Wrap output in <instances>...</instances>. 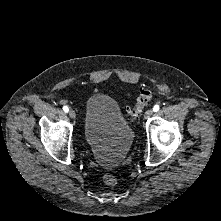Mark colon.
Returning a JSON list of instances; mask_svg holds the SVG:
<instances>
[{"mask_svg":"<svg viewBox=\"0 0 221 221\" xmlns=\"http://www.w3.org/2000/svg\"><path fill=\"white\" fill-rule=\"evenodd\" d=\"M153 92L149 89L142 88L137 97L136 103L132 108H129L128 112L132 118L139 117L144 111L146 105L153 99ZM105 184L114 186L117 184V177L111 174H105L102 177Z\"/></svg>","mask_w":221,"mask_h":221,"instance_id":"obj_1","label":"colon"}]
</instances>
